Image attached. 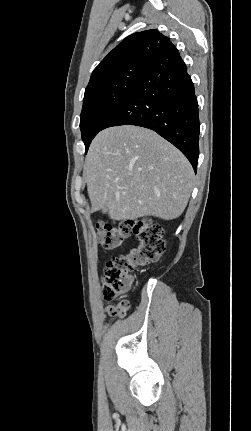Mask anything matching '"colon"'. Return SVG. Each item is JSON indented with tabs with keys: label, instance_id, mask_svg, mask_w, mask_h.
<instances>
[{
	"label": "colon",
	"instance_id": "obj_1",
	"mask_svg": "<svg viewBox=\"0 0 251 431\" xmlns=\"http://www.w3.org/2000/svg\"><path fill=\"white\" fill-rule=\"evenodd\" d=\"M99 244L108 250L120 247L132 234L137 244L130 251L108 261L102 275L103 295L113 300L124 293L131 283V275L137 268L156 262L165 250L164 230L149 218L128 220L121 223L96 222ZM129 309L125 300L108 306L112 316L124 317Z\"/></svg>",
	"mask_w": 251,
	"mask_h": 431
}]
</instances>
